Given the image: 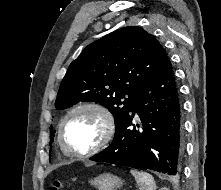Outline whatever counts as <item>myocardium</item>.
<instances>
[{"label": "myocardium", "instance_id": "obj_1", "mask_svg": "<svg viewBox=\"0 0 221 190\" xmlns=\"http://www.w3.org/2000/svg\"><path fill=\"white\" fill-rule=\"evenodd\" d=\"M81 110H92L98 113L103 122V131L99 141L94 146L84 151H77L75 149L70 148L64 141L63 129L69 117ZM115 128H116L115 118L107 106L99 102H84L71 108L62 117L58 126V140L61 149L63 150L64 153L75 157H87L101 151L110 143V141L112 140L115 134Z\"/></svg>", "mask_w": 221, "mask_h": 190}]
</instances>
